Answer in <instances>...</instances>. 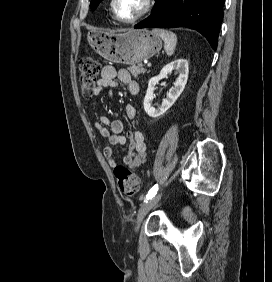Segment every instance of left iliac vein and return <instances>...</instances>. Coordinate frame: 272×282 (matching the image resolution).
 I'll return each instance as SVG.
<instances>
[{
	"label": "left iliac vein",
	"mask_w": 272,
	"mask_h": 282,
	"mask_svg": "<svg viewBox=\"0 0 272 282\" xmlns=\"http://www.w3.org/2000/svg\"><path fill=\"white\" fill-rule=\"evenodd\" d=\"M161 197H162V193H159L156 196H154L152 199L145 202L140 207V209L138 210L136 223H135V227H134L135 232H137L139 230V227H140L144 217L160 201Z\"/></svg>",
	"instance_id": "1"
}]
</instances>
